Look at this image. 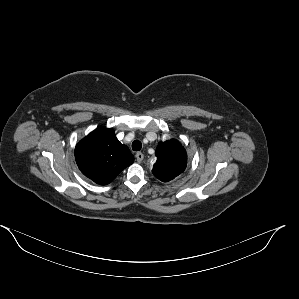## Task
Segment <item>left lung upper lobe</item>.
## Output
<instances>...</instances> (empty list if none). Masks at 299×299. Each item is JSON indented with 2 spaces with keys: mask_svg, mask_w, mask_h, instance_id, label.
<instances>
[{
  "mask_svg": "<svg viewBox=\"0 0 299 299\" xmlns=\"http://www.w3.org/2000/svg\"><path fill=\"white\" fill-rule=\"evenodd\" d=\"M156 163L152 173L162 182H169L186 168L187 155L184 147L175 139L160 142L156 148Z\"/></svg>",
  "mask_w": 299,
  "mask_h": 299,
  "instance_id": "1",
  "label": "left lung upper lobe"
}]
</instances>
